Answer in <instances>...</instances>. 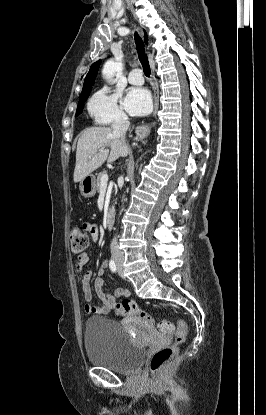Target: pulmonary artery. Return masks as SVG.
Here are the masks:
<instances>
[{
	"instance_id": "1",
	"label": "pulmonary artery",
	"mask_w": 266,
	"mask_h": 415,
	"mask_svg": "<svg viewBox=\"0 0 266 415\" xmlns=\"http://www.w3.org/2000/svg\"><path fill=\"white\" fill-rule=\"evenodd\" d=\"M128 81L133 85H142L144 83L142 71L138 68L132 69L129 72Z\"/></svg>"
}]
</instances>
